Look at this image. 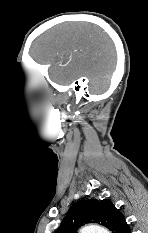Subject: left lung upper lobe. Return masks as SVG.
<instances>
[{"mask_svg":"<svg viewBox=\"0 0 148 233\" xmlns=\"http://www.w3.org/2000/svg\"><path fill=\"white\" fill-rule=\"evenodd\" d=\"M85 223H99L112 233H127L130 229L121 212L109 200L90 199L72 205L55 233H76Z\"/></svg>","mask_w":148,"mask_h":233,"instance_id":"obj_1","label":"left lung upper lobe"}]
</instances>
